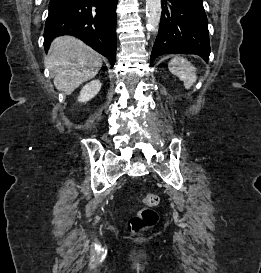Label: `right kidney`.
I'll use <instances>...</instances> for the list:
<instances>
[{"mask_svg":"<svg viewBox=\"0 0 261 273\" xmlns=\"http://www.w3.org/2000/svg\"><path fill=\"white\" fill-rule=\"evenodd\" d=\"M101 89V82L99 80H93L86 84L80 91L78 97L79 102H87L95 97Z\"/></svg>","mask_w":261,"mask_h":273,"instance_id":"1","label":"right kidney"}]
</instances>
